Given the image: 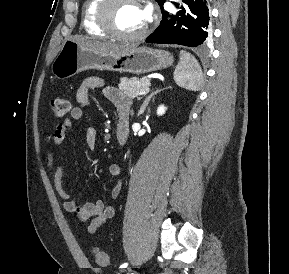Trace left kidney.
Returning a JSON list of instances; mask_svg holds the SVG:
<instances>
[{
  "mask_svg": "<svg viewBox=\"0 0 289 274\" xmlns=\"http://www.w3.org/2000/svg\"><path fill=\"white\" fill-rule=\"evenodd\" d=\"M166 107L164 105H160L157 109V115L162 116L166 112Z\"/></svg>",
  "mask_w": 289,
  "mask_h": 274,
  "instance_id": "5707ae66",
  "label": "left kidney"
}]
</instances>
